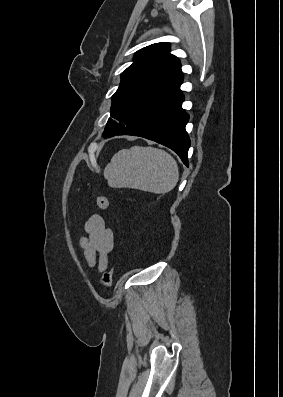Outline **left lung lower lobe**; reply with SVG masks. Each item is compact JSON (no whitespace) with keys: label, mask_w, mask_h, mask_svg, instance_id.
<instances>
[{"label":"left lung lower lobe","mask_w":283,"mask_h":397,"mask_svg":"<svg viewBox=\"0 0 283 397\" xmlns=\"http://www.w3.org/2000/svg\"><path fill=\"white\" fill-rule=\"evenodd\" d=\"M183 101L181 91L174 93L140 115L118 135L140 136L165 145L188 166L190 138L185 126L189 115L182 109Z\"/></svg>","instance_id":"left-lung-lower-lobe-1"}]
</instances>
